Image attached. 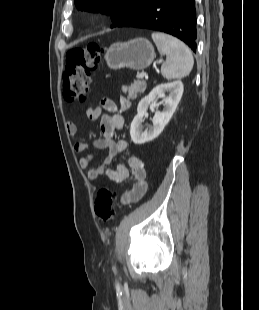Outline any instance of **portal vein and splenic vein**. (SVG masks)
I'll list each match as a JSON object with an SVG mask.
<instances>
[{
  "mask_svg": "<svg viewBox=\"0 0 259 310\" xmlns=\"http://www.w3.org/2000/svg\"><path fill=\"white\" fill-rule=\"evenodd\" d=\"M147 74L145 72H142L138 75V79H143L144 77H146Z\"/></svg>",
  "mask_w": 259,
  "mask_h": 310,
  "instance_id": "obj_1",
  "label": "portal vein and splenic vein"
}]
</instances>
